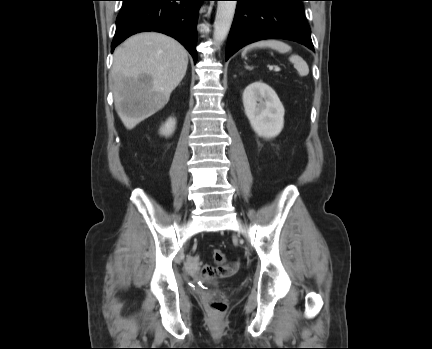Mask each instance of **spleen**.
<instances>
[{
    "label": "spleen",
    "mask_w": 432,
    "mask_h": 349,
    "mask_svg": "<svg viewBox=\"0 0 432 349\" xmlns=\"http://www.w3.org/2000/svg\"><path fill=\"white\" fill-rule=\"evenodd\" d=\"M264 47H269L271 49L277 50L279 53H287L291 51V47L288 44L279 40L269 39V40H261L246 46L245 49L243 50L242 56L244 57L247 51L253 48H264ZM289 60L294 64V67L297 69L300 76L308 75L309 67L302 57H300L299 55H291Z\"/></svg>",
    "instance_id": "obj_1"
}]
</instances>
